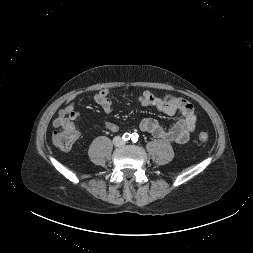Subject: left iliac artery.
I'll return each instance as SVG.
<instances>
[{
	"mask_svg": "<svg viewBox=\"0 0 253 253\" xmlns=\"http://www.w3.org/2000/svg\"><path fill=\"white\" fill-rule=\"evenodd\" d=\"M131 140H132V142H134V143L137 142V141H138V134H137V133H133V134H132V139H131Z\"/></svg>",
	"mask_w": 253,
	"mask_h": 253,
	"instance_id": "1",
	"label": "left iliac artery"
}]
</instances>
